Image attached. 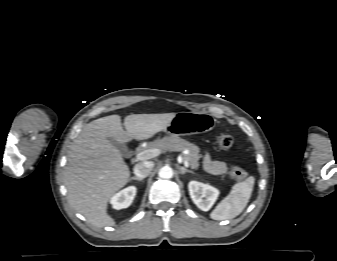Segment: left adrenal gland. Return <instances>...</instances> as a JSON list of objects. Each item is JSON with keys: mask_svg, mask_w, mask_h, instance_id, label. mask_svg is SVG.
<instances>
[{"mask_svg": "<svg viewBox=\"0 0 337 261\" xmlns=\"http://www.w3.org/2000/svg\"><path fill=\"white\" fill-rule=\"evenodd\" d=\"M179 170H180V173L183 175V174H185V173H194L193 171H191V170H188V169H186L185 167H179Z\"/></svg>", "mask_w": 337, "mask_h": 261, "instance_id": "obj_1", "label": "left adrenal gland"}]
</instances>
